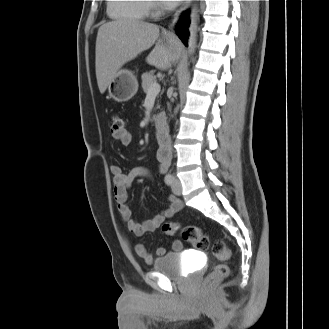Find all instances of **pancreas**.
I'll list each match as a JSON object with an SVG mask.
<instances>
[{"label": "pancreas", "mask_w": 329, "mask_h": 329, "mask_svg": "<svg viewBox=\"0 0 329 329\" xmlns=\"http://www.w3.org/2000/svg\"><path fill=\"white\" fill-rule=\"evenodd\" d=\"M141 79H142V88L144 92L147 94L150 86L156 82V76L153 74V72H146L143 73Z\"/></svg>", "instance_id": "pancreas-1"}]
</instances>
